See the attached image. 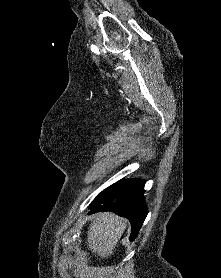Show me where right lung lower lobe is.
<instances>
[{"label": "right lung lower lobe", "instance_id": "98d812e1", "mask_svg": "<svg viewBox=\"0 0 221 278\" xmlns=\"http://www.w3.org/2000/svg\"><path fill=\"white\" fill-rule=\"evenodd\" d=\"M144 184L140 179L121 180L102 191L92 202L89 214L111 211L129 219L134 240L147 216L144 200Z\"/></svg>", "mask_w": 221, "mask_h": 278}]
</instances>
